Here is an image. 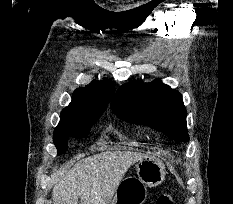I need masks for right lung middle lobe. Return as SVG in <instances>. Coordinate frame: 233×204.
Masks as SVG:
<instances>
[{
	"mask_svg": "<svg viewBox=\"0 0 233 204\" xmlns=\"http://www.w3.org/2000/svg\"><path fill=\"white\" fill-rule=\"evenodd\" d=\"M101 115H94L88 118L80 119L55 129L53 134V141L57 148L58 155L63 154L67 150V142L69 137L83 138L86 137L92 125Z\"/></svg>",
	"mask_w": 233,
	"mask_h": 204,
	"instance_id": "dd1d6c3e",
	"label": "right lung middle lobe"
}]
</instances>
